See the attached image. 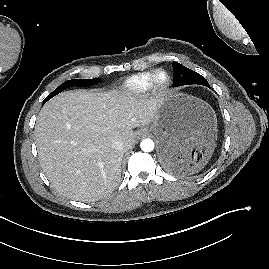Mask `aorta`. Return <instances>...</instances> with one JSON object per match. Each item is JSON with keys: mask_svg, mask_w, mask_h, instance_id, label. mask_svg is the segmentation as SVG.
Listing matches in <instances>:
<instances>
[{"mask_svg": "<svg viewBox=\"0 0 269 269\" xmlns=\"http://www.w3.org/2000/svg\"><path fill=\"white\" fill-rule=\"evenodd\" d=\"M140 148L144 152H151L154 149V142L152 139L146 138L141 141Z\"/></svg>", "mask_w": 269, "mask_h": 269, "instance_id": "aorta-1", "label": "aorta"}]
</instances>
